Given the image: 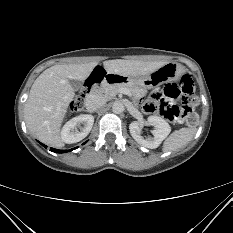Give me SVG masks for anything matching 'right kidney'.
Wrapping results in <instances>:
<instances>
[{"instance_id": "ca27d5eb", "label": "right kidney", "mask_w": 233, "mask_h": 233, "mask_svg": "<svg viewBox=\"0 0 233 233\" xmlns=\"http://www.w3.org/2000/svg\"><path fill=\"white\" fill-rule=\"evenodd\" d=\"M94 117L92 115H79L69 120L62 128L61 139L63 142L72 144L84 139L92 129ZM83 124L81 131L76 126Z\"/></svg>"}]
</instances>
